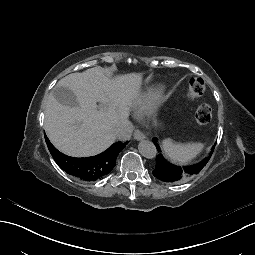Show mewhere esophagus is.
<instances>
[{"label":"esophagus","instance_id":"34e87169","mask_svg":"<svg viewBox=\"0 0 255 255\" xmlns=\"http://www.w3.org/2000/svg\"><path fill=\"white\" fill-rule=\"evenodd\" d=\"M134 138H135L136 140H142V139H145V138H146V134H145V132H144L143 130H141V129H136V130L134 131Z\"/></svg>","mask_w":255,"mask_h":255}]
</instances>
